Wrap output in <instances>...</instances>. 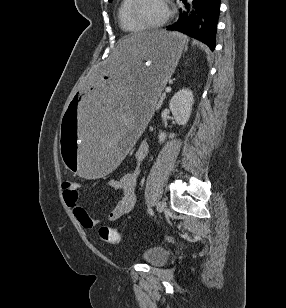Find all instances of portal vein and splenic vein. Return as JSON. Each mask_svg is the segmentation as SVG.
Here are the masks:
<instances>
[{"mask_svg":"<svg viewBox=\"0 0 286 308\" xmlns=\"http://www.w3.org/2000/svg\"><path fill=\"white\" fill-rule=\"evenodd\" d=\"M170 90H171L170 87H166V89H165L166 92H169Z\"/></svg>","mask_w":286,"mask_h":308,"instance_id":"1","label":"portal vein and splenic vein"}]
</instances>
